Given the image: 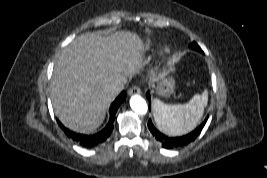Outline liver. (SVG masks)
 Here are the masks:
<instances>
[{
  "label": "liver",
  "instance_id": "obj_1",
  "mask_svg": "<svg viewBox=\"0 0 267 178\" xmlns=\"http://www.w3.org/2000/svg\"><path fill=\"white\" fill-rule=\"evenodd\" d=\"M145 51L142 39L129 31L109 37L85 33L71 41L55 63L50 85L53 108L62 124L79 133L95 131L115 97L108 86L126 84L147 63L143 61ZM165 75L163 71L158 77Z\"/></svg>",
  "mask_w": 267,
  "mask_h": 178
}]
</instances>
